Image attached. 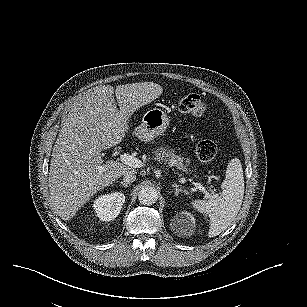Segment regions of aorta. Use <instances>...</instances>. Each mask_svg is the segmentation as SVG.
I'll return each instance as SVG.
<instances>
[{
  "label": "aorta",
  "instance_id": "1",
  "mask_svg": "<svg viewBox=\"0 0 307 307\" xmlns=\"http://www.w3.org/2000/svg\"><path fill=\"white\" fill-rule=\"evenodd\" d=\"M157 199L158 192L152 186H145L138 193V200L142 205H153Z\"/></svg>",
  "mask_w": 307,
  "mask_h": 307
}]
</instances>
